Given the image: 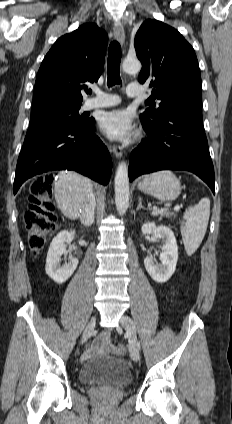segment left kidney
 Returning a JSON list of instances; mask_svg holds the SVG:
<instances>
[{"instance_id":"left-kidney-1","label":"left kidney","mask_w":232,"mask_h":424,"mask_svg":"<svg viewBox=\"0 0 232 424\" xmlns=\"http://www.w3.org/2000/svg\"><path fill=\"white\" fill-rule=\"evenodd\" d=\"M141 231L143 235L153 234L164 242L160 255L161 264H155L152 257L144 259L145 268L151 278L158 283H164L175 272L178 260V246L174 233L167 226H156L155 223L151 222L144 223Z\"/></svg>"}]
</instances>
